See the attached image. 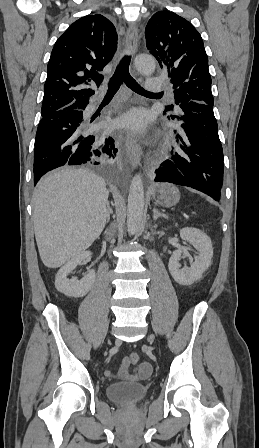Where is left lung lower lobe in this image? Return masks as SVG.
<instances>
[{
    "mask_svg": "<svg viewBox=\"0 0 259 448\" xmlns=\"http://www.w3.org/2000/svg\"><path fill=\"white\" fill-rule=\"evenodd\" d=\"M164 114L180 122L178 146L155 171L156 182L197 189L218 201L223 184V149L213 105L191 101L176 113Z\"/></svg>",
    "mask_w": 259,
    "mask_h": 448,
    "instance_id": "0a47b994",
    "label": "left lung lower lobe"
}]
</instances>
